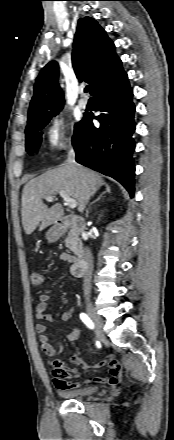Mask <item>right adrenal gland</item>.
<instances>
[{
    "instance_id": "1",
    "label": "right adrenal gland",
    "mask_w": 174,
    "mask_h": 440,
    "mask_svg": "<svg viewBox=\"0 0 174 440\" xmlns=\"http://www.w3.org/2000/svg\"><path fill=\"white\" fill-rule=\"evenodd\" d=\"M104 186H105V191L104 192H102L92 203H91V205H93L95 202H97V201H99L102 197H103V195H105V194H107V193H111V189H110V187H109V185L108 184H104ZM91 208V207H90ZM89 208V209H90ZM88 213H89V210H87V212H86V214L88 215Z\"/></svg>"
}]
</instances>
